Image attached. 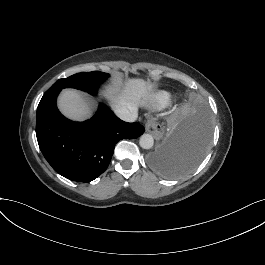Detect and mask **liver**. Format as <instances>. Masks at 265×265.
Here are the masks:
<instances>
[{"instance_id":"obj_1","label":"liver","mask_w":265,"mask_h":265,"mask_svg":"<svg viewBox=\"0 0 265 265\" xmlns=\"http://www.w3.org/2000/svg\"><path fill=\"white\" fill-rule=\"evenodd\" d=\"M150 84L142 81H131L126 87L124 93L116 99L112 100V108H127L130 111L136 109L140 99L148 100L150 95ZM59 106L62 112L73 120H81L89 114V108L79 94L74 91L66 90L59 100Z\"/></svg>"}]
</instances>
